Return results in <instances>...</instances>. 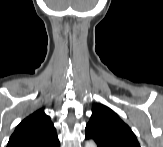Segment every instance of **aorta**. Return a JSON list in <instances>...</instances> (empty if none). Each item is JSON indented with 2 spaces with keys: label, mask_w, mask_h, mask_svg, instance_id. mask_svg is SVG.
Segmentation results:
<instances>
[{
  "label": "aorta",
  "mask_w": 163,
  "mask_h": 147,
  "mask_svg": "<svg viewBox=\"0 0 163 147\" xmlns=\"http://www.w3.org/2000/svg\"><path fill=\"white\" fill-rule=\"evenodd\" d=\"M85 147H96V143L93 140H88L85 143Z\"/></svg>",
  "instance_id": "obj_1"
}]
</instances>
